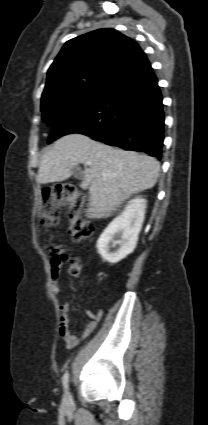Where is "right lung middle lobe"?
<instances>
[{
	"instance_id": "1",
	"label": "right lung middle lobe",
	"mask_w": 208,
	"mask_h": 425,
	"mask_svg": "<svg viewBox=\"0 0 208 425\" xmlns=\"http://www.w3.org/2000/svg\"><path fill=\"white\" fill-rule=\"evenodd\" d=\"M104 93L105 89H85L41 102L42 119L48 126H53L63 116L94 104Z\"/></svg>"
}]
</instances>
